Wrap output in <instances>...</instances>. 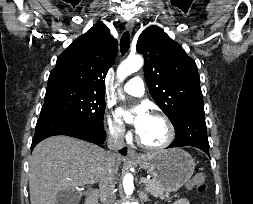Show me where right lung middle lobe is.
Returning <instances> with one entry per match:
<instances>
[{
    "mask_svg": "<svg viewBox=\"0 0 253 204\" xmlns=\"http://www.w3.org/2000/svg\"><path fill=\"white\" fill-rule=\"evenodd\" d=\"M103 96L72 85H48L40 118H56L103 127Z\"/></svg>",
    "mask_w": 253,
    "mask_h": 204,
    "instance_id": "1",
    "label": "right lung middle lobe"
}]
</instances>
